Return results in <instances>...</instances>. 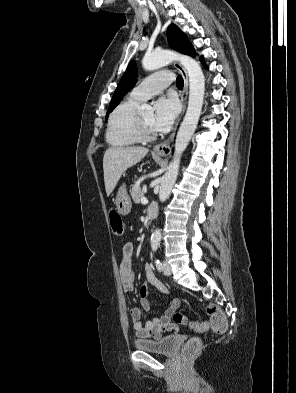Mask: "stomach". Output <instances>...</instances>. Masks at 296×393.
Returning <instances> with one entry per match:
<instances>
[{
    "label": "stomach",
    "mask_w": 296,
    "mask_h": 393,
    "mask_svg": "<svg viewBox=\"0 0 296 393\" xmlns=\"http://www.w3.org/2000/svg\"><path fill=\"white\" fill-rule=\"evenodd\" d=\"M115 204L121 215H127L131 211L132 203L125 185H122L116 195Z\"/></svg>",
    "instance_id": "stomach-1"
}]
</instances>
